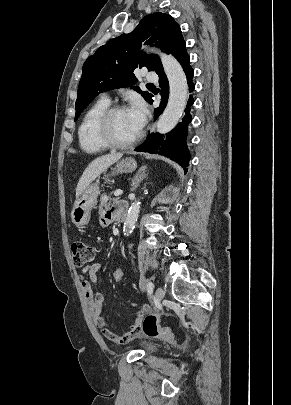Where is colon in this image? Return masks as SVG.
<instances>
[{"instance_id": "colon-1", "label": "colon", "mask_w": 291, "mask_h": 405, "mask_svg": "<svg viewBox=\"0 0 291 405\" xmlns=\"http://www.w3.org/2000/svg\"><path fill=\"white\" fill-rule=\"evenodd\" d=\"M71 253L75 267H83L94 259L93 247L81 240L72 242ZM111 276L114 282L120 283L123 280V271L121 269H115L112 271ZM141 329L146 335L152 338H158L169 343L176 341L171 329L160 325L159 317L156 314H148L145 316L141 323Z\"/></svg>"}]
</instances>
